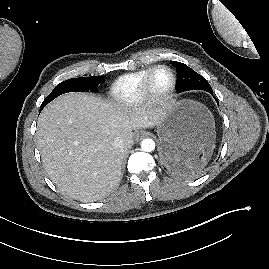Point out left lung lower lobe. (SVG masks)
<instances>
[{"instance_id": "1", "label": "left lung lower lobe", "mask_w": 269, "mask_h": 269, "mask_svg": "<svg viewBox=\"0 0 269 269\" xmlns=\"http://www.w3.org/2000/svg\"><path fill=\"white\" fill-rule=\"evenodd\" d=\"M213 94V91L209 92ZM215 98V97H214ZM217 103L219 104L218 100L215 98ZM162 162L165 167L169 170L182 172L184 169L180 166V162L182 159V155L180 153V149L175 144H167L164 147L163 153L161 155Z\"/></svg>"}]
</instances>
